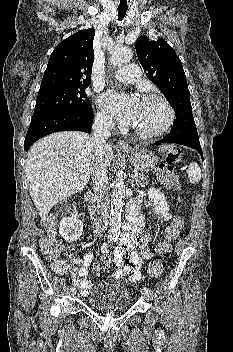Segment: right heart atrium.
I'll list each match as a JSON object with an SVG mask.
<instances>
[{"mask_svg":"<svg viewBox=\"0 0 233 352\" xmlns=\"http://www.w3.org/2000/svg\"><path fill=\"white\" fill-rule=\"evenodd\" d=\"M97 121L101 125H105V126H110L113 123L111 116L106 111H99L98 112Z\"/></svg>","mask_w":233,"mask_h":352,"instance_id":"right-heart-atrium-1","label":"right heart atrium"}]
</instances>
